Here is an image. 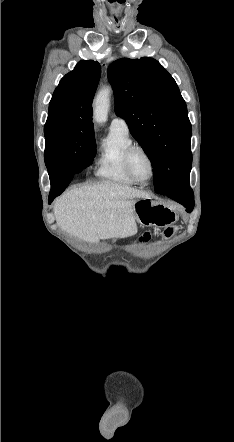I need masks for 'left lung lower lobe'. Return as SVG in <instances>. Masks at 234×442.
<instances>
[{
  "label": "left lung lower lobe",
  "instance_id": "0a47b994",
  "mask_svg": "<svg viewBox=\"0 0 234 442\" xmlns=\"http://www.w3.org/2000/svg\"><path fill=\"white\" fill-rule=\"evenodd\" d=\"M163 194L184 205L187 212L192 211L194 207V194L189 185V175L181 183L163 192Z\"/></svg>",
  "mask_w": 234,
  "mask_h": 442
}]
</instances>
